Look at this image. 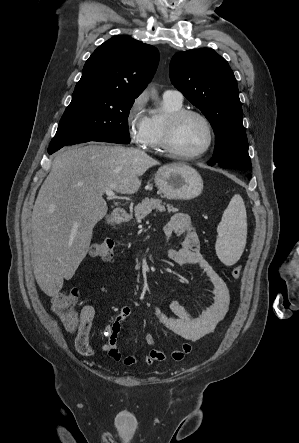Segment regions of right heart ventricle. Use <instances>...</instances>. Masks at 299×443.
<instances>
[{
	"mask_svg": "<svg viewBox=\"0 0 299 443\" xmlns=\"http://www.w3.org/2000/svg\"><path fill=\"white\" fill-rule=\"evenodd\" d=\"M164 113L152 114L149 117V133L144 148L149 151H162V133L165 118L168 114L183 109V104L163 97Z\"/></svg>",
	"mask_w": 299,
	"mask_h": 443,
	"instance_id": "1",
	"label": "right heart ventricle"
}]
</instances>
